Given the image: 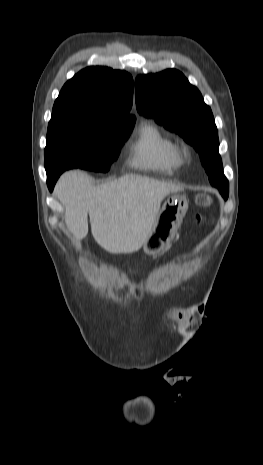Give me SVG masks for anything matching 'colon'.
<instances>
[{
    "label": "colon",
    "mask_w": 263,
    "mask_h": 465,
    "mask_svg": "<svg viewBox=\"0 0 263 465\" xmlns=\"http://www.w3.org/2000/svg\"><path fill=\"white\" fill-rule=\"evenodd\" d=\"M196 203L200 206V207H208L211 205L212 203V198L209 196V195H206V194H200L196 197ZM196 221L198 224H204V223H207L209 222V218H207L205 215L203 214H198L196 216Z\"/></svg>",
    "instance_id": "5ec220e1"
}]
</instances>
